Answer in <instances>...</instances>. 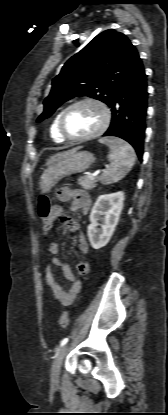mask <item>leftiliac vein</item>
Returning <instances> with one entry per match:
<instances>
[{
    "label": "left iliac vein",
    "mask_w": 168,
    "mask_h": 415,
    "mask_svg": "<svg viewBox=\"0 0 168 415\" xmlns=\"http://www.w3.org/2000/svg\"><path fill=\"white\" fill-rule=\"evenodd\" d=\"M67 349H68V345H64L60 349V351L57 353V355L54 359L52 369H51V380L53 382H57L59 380L62 361H63V358H64L66 352H67Z\"/></svg>",
    "instance_id": "left-iliac-vein-1"
}]
</instances>
